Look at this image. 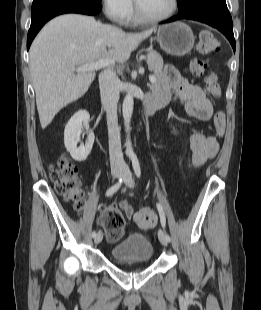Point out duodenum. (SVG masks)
<instances>
[{"label": "duodenum", "mask_w": 261, "mask_h": 310, "mask_svg": "<svg viewBox=\"0 0 261 310\" xmlns=\"http://www.w3.org/2000/svg\"><path fill=\"white\" fill-rule=\"evenodd\" d=\"M166 101L162 98L149 95L144 102V109L147 114H153L157 109L164 106Z\"/></svg>", "instance_id": "obj_1"}]
</instances>
